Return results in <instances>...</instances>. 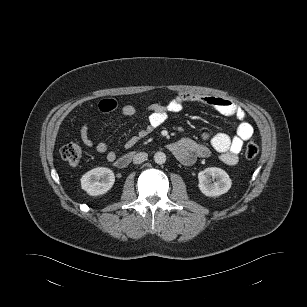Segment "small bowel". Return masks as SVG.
I'll list each match as a JSON object with an SVG mask.
<instances>
[{"label":"small bowel","instance_id":"c3829d8e","mask_svg":"<svg viewBox=\"0 0 307 307\" xmlns=\"http://www.w3.org/2000/svg\"><path fill=\"white\" fill-rule=\"evenodd\" d=\"M189 103H201L207 105L224 116H233L238 121L236 134L230 136L219 132L210 135L205 132L202 134L203 142H197L192 138H181L168 145V150L183 164L190 165L197 158H204L210 155L211 149L206 144L209 142L211 148L221 154V160L226 165L233 166L238 162V155L242 150L245 141L249 140L254 133L253 126L245 120L244 111L234 102L221 97L200 95L194 93H179L167 104L153 103L147 108L148 122L136 135L128 139L125 143L126 148L133 147L139 140L145 138L155 129L162 126L172 113L180 112L184 105ZM117 101L114 99H105L99 103V109L104 113H109L117 109ZM122 115L134 117L137 109L130 104L123 105L120 108ZM80 139L82 143L90 148H95L98 153L105 154L107 161L117 162L116 152L109 150L105 142H96L90 136L87 124L81 126Z\"/></svg>","mask_w":307,"mask_h":307}]
</instances>
